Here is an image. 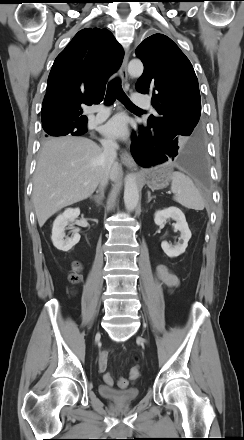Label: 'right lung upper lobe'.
<instances>
[{
	"instance_id": "obj_1",
	"label": "right lung upper lobe",
	"mask_w": 244,
	"mask_h": 440,
	"mask_svg": "<svg viewBox=\"0 0 244 440\" xmlns=\"http://www.w3.org/2000/svg\"><path fill=\"white\" fill-rule=\"evenodd\" d=\"M124 52L107 29L79 31L56 57L42 104V125L60 121L87 125L85 105L103 100L108 78L121 65Z\"/></svg>"
}]
</instances>
